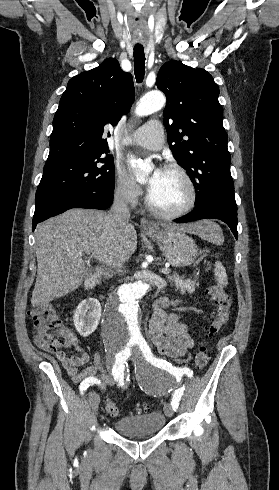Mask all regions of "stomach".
Wrapping results in <instances>:
<instances>
[{"instance_id":"stomach-1","label":"stomach","mask_w":279,"mask_h":490,"mask_svg":"<svg viewBox=\"0 0 279 490\" xmlns=\"http://www.w3.org/2000/svg\"><path fill=\"white\" fill-rule=\"evenodd\" d=\"M161 226V224H157ZM152 240H156L162 254L173 268H185L194 264L198 256V246L190 236H186L183 230H163L158 232H146Z\"/></svg>"}]
</instances>
